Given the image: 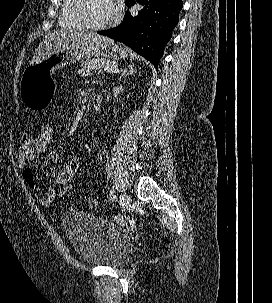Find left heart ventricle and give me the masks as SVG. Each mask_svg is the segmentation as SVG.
I'll return each instance as SVG.
<instances>
[{"label":"left heart ventricle","mask_w":272,"mask_h":303,"mask_svg":"<svg viewBox=\"0 0 272 303\" xmlns=\"http://www.w3.org/2000/svg\"><path fill=\"white\" fill-rule=\"evenodd\" d=\"M83 12L93 24H103L115 16L112 0H86Z\"/></svg>","instance_id":"left-heart-ventricle-1"}]
</instances>
